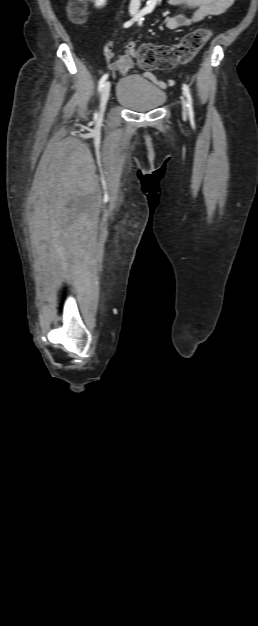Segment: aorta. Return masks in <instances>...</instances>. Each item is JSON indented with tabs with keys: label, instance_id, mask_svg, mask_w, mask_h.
<instances>
[{
	"label": "aorta",
	"instance_id": "762f6f07",
	"mask_svg": "<svg viewBox=\"0 0 258 626\" xmlns=\"http://www.w3.org/2000/svg\"><path fill=\"white\" fill-rule=\"evenodd\" d=\"M156 3H157V0H149L148 3H147V6L149 8H154Z\"/></svg>",
	"mask_w": 258,
	"mask_h": 626
}]
</instances>
